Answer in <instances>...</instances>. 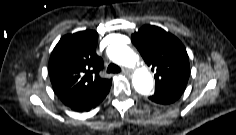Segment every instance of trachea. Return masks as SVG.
I'll return each mask as SVG.
<instances>
[{"instance_id":"obj_1","label":"trachea","mask_w":236,"mask_h":135,"mask_svg":"<svg viewBox=\"0 0 236 135\" xmlns=\"http://www.w3.org/2000/svg\"><path fill=\"white\" fill-rule=\"evenodd\" d=\"M119 72H121V68L119 66L113 63L109 64L107 68V73H119Z\"/></svg>"}]
</instances>
